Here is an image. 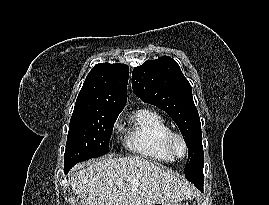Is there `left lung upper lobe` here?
Returning <instances> with one entry per match:
<instances>
[{
	"mask_svg": "<svg viewBox=\"0 0 269 205\" xmlns=\"http://www.w3.org/2000/svg\"><path fill=\"white\" fill-rule=\"evenodd\" d=\"M132 87L140 99L164 110L179 127L188 147L184 174L196 183L204 164L201 123L191 85L178 63L168 56L147 60L133 69Z\"/></svg>",
	"mask_w": 269,
	"mask_h": 205,
	"instance_id": "obj_1",
	"label": "left lung upper lobe"
}]
</instances>
